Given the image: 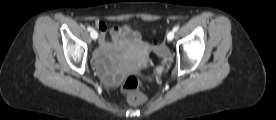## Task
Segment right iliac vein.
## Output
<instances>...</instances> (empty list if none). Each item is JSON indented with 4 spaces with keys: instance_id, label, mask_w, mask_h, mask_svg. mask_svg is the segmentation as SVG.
<instances>
[{
    "instance_id": "63e3f726",
    "label": "right iliac vein",
    "mask_w": 276,
    "mask_h": 120,
    "mask_svg": "<svg viewBox=\"0 0 276 120\" xmlns=\"http://www.w3.org/2000/svg\"><path fill=\"white\" fill-rule=\"evenodd\" d=\"M90 35H91V38L94 39V40H96L97 37H98V33L95 30H92L90 32Z\"/></svg>"
}]
</instances>
